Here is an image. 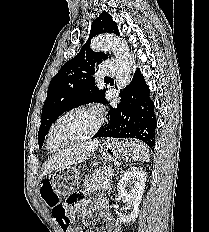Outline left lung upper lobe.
<instances>
[{
  "label": "left lung upper lobe",
  "instance_id": "5c2ea615",
  "mask_svg": "<svg viewBox=\"0 0 209 232\" xmlns=\"http://www.w3.org/2000/svg\"><path fill=\"white\" fill-rule=\"evenodd\" d=\"M101 33L119 35L117 24L105 11L93 21L89 38L80 52L67 61L50 82L38 132L40 147L52 123L70 108L91 102L107 103L106 89H98L93 75L98 64L108 56L102 52L96 53L90 48L91 38Z\"/></svg>",
  "mask_w": 209,
  "mask_h": 232
}]
</instances>
